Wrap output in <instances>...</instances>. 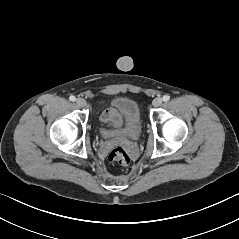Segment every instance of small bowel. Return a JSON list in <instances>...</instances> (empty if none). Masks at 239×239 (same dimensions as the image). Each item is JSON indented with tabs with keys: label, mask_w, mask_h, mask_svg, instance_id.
Listing matches in <instances>:
<instances>
[{
	"label": "small bowel",
	"mask_w": 239,
	"mask_h": 239,
	"mask_svg": "<svg viewBox=\"0 0 239 239\" xmlns=\"http://www.w3.org/2000/svg\"><path fill=\"white\" fill-rule=\"evenodd\" d=\"M101 119L102 121L109 123L113 126H119L121 122L120 117L114 108H108L104 110L101 115Z\"/></svg>",
	"instance_id": "small-bowel-1"
}]
</instances>
